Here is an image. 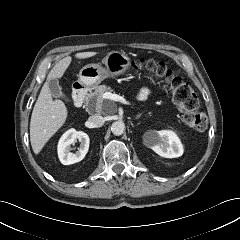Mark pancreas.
Masks as SVG:
<instances>
[{"label":"pancreas","instance_id":"pancreas-1","mask_svg":"<svg viewBox=\"0 0 240 240\" xmlns=\"http://www.w3.org/2000/svg\"><path fill=\"white\" fill-rule=\"evenodd\" d=\"M107 91H112L111 87L106 85H99L94 92H90L86 98V106L90 107L91 103L96 104V111L103 112L107 105H112V102L104 100L103 94Z\"/></svg>","mask_w":240,"mask_h":240}]
</instances>
